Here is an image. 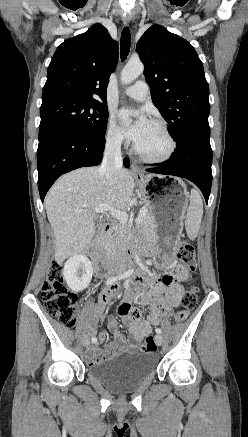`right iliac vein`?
Masks as SVG:
<instances>
[{
    "mask_svg": "<svg viewBox=\"0 0 248 437\" xmlns=\"http://www.w3.org/2000/svg\"><path fill=\"white\" fill-rule=\"evenodd\" d=\"M90 340L88 336H84L82 339L83 346H87L89 344Z\"/></svg>",
    "mask_w": 248,
    "mask_h": 437,
    "instance_id": "63e3f726",
    "label": "right iliac vein"
}]
</instances>
